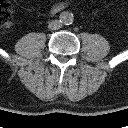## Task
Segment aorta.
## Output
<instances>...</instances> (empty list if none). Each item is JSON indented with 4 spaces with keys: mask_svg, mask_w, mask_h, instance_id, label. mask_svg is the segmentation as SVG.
Returning a JSON list of instances; mask_svg holds the SVG:
<instances>
[{
    "mask_svg": "<svg viewBox=\"0 0 128 128\" xmlns=\"http://www.w3.org/2000/svg\"><path fill=\"white\" fill-rule=\"evenodd\" d=\"M59 18H60V22L64 25H70L74 21V16L72 12H69V11L61 12Z\"/></svg>",
    "mask_w": 128,
    "mask_h": 128,
    "instance_id": "762f6f07",
    "label": "aorta"
}]
</instances>
